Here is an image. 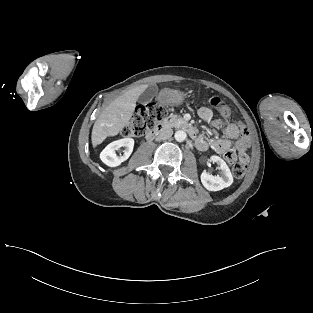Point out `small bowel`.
<instances>
[{
	"label": "small bowel",
	"mask_w": 313,
	"mask_h": 313,
	"mask_svg": "<svg viewBox=\"0 0 313 313\" xmlns=\"http://www.w3.org/2000/svg\"><path fill=\"white\" fill-rule=\"evenodd\" d=\"M200 118L208 123L211 127L221 132V136L211 139L197 137L195 140L196 147L200 151L211 148L224 157L232 152L238 157H247V150L251 147L252 138L249 130L242 122H226L214 118L213 112L207 108L199 109ZM232 141L235 142V149H232Z\"/></svg>",
	"instance_id": "obj_1"
}]
</instances>
